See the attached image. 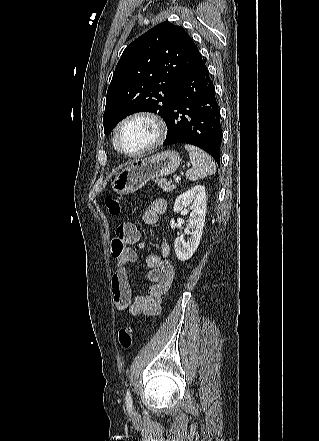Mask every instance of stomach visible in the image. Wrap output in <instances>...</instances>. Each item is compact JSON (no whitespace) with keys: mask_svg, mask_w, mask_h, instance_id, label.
<instances>
[{"mask_svg":"<svg viewBox=\"0 0 319 441\" xmlns=\"http://www.w3.org/2000/svg\"><path fill=\"white\" fill-rule=\"evenodd\" d=\"M180 155L164 151L152 157L137 159L118 173L111 183L118 194H130L142 188L149 180L174 173L180 165Z\"/></svg>","mask_w":319,"mask_h":441,"instance_id":"1","label":"stomach"}]
</instances>
